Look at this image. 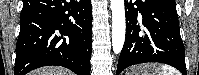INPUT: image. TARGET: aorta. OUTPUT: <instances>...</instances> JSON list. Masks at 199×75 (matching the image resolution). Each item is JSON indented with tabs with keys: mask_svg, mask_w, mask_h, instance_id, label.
<instances>
[{
	"mask_svg": "<svg viewBox=\"0 0 199 75\" xmlns=\"http://www.w3.org/2000/svg\"><path fill=\"white\" fill-rule=\"evenodd\" d=\"M112 10V46L115 54H119L125 41V9L124 0H111Z\"/></svg>",
	"mask_w": 199,
	"mask_h": 75,
	"instance_id": "aorta-1",
	"label": "aorta"
}]
</instances>
